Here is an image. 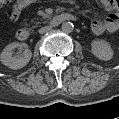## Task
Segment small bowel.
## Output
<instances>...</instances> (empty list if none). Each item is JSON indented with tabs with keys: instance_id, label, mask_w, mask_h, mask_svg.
Returning <instances> with one entry per match:
<instances>
[{
	"instance_id": "small-bowel-1",
	"label": "small bowel",
	"mask_w": 119,
	"mask_h": 119,
	"mask_svg": "<svg viewBox=\"0 0 119 119\" xmlns=\"http://www.w3.org/2000/svg\"><path fill=\"white\" fill-rule=\"evenodd\" d=\"M6 4L9 2L6 1ZM31 4L29 0H17L13 3V7L9 12L11 20H17L23 10L28 8ZM99 6L107 13L105 19H97L91 23V31L94 35L100 36L104 34H111L119 28V2L117 0H100Z\"/></svg>"
}]
</instances>
